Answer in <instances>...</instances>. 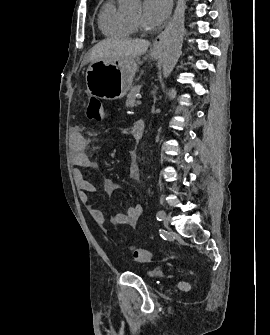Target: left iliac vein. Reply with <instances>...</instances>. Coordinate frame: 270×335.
I'll list each match as a JSON object with an SVG mask.
<instances>
[{
	"label": "left iliac vein",
	"instance_id": "obj_1",
	"mask_svg": "<svg viewBox=\"0 0 270 335\" xmlns=\"http://www.w3.org/2000/svg\"><path fill=\"white\" fill-rule=\"evenodd\" d=\"M170 220H171V216L170 215H165L164 218H163L164 225L168 226L169 223H170Z\"/></svg>",
	"mask_w": 270,
	"mask_h": 335
}]
</instances>
